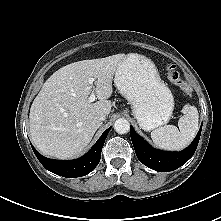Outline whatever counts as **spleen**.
<instances>
[{
	"label": "spleen",
	"instance_id": "3e777b00",
	"mask_svg": "<svg viewBox=\"0 0 221 221\" xmlns=\"http://www.w3.org/2000/svg\"><path fill=\"white\" fill-rule=\"evenodd\" d=\"M183 116L178 121L179 129L174 125H165L151 132L153 143L165 150H181L188 146L198 131L199 114L195 106L186 104Z\"/></svg>",
	"mask_w": 221,
	"mask_h": 221
}]
</instances>
